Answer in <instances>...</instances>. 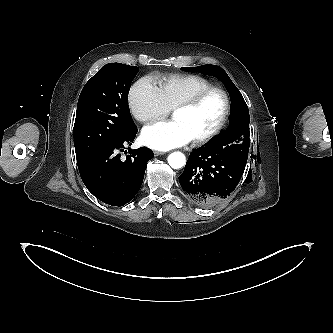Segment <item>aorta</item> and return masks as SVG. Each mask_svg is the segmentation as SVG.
<instances>
[{"mask_svg":"<svg viewBox=\"0 0 333 333\" xmlns=\"http://www.w3.org/2000/svg\"><path fill=\"white\" fill-rule=\"evenodd\" d=\"M168 163L173 169H180L186 163L185 155L181 152H173L168 156Z\"/></svg>","mask_w":333,"mask_h":333,"instance_id":"aorta-1","label":"aorta"}]
</instances>
